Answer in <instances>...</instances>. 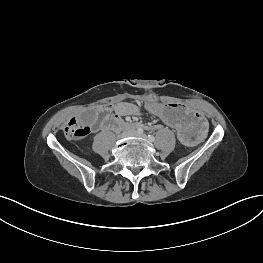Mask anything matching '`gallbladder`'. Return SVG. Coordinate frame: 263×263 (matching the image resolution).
Returning <instances> with one entry per match:
<instances>
[{"label":"gallbladder","instance_id":"1","mask_svg":"<svg viewBox=\"0 0 263 263\" xmlns=\"http://www.w3.org/2000/svg\"><path fill=\"white\" fill-rule=\"evenodd\" d=\"M97 113L94 110H86L83 112L81 118L85 124H92L95 122Z\"/></svg>","mask_w":263,"mask_h":263}]
</instances>
